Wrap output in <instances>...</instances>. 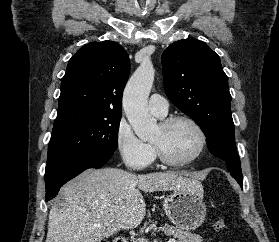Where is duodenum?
Instances as JSON below:
<instances>
[{"label":"duodenum","instance_id":"duodenum-1","mask_svg":"<svg viewBox=\"0 0 279 242\" xmlns=\"http://www.w3.org/2000/svg\"><path fill=\"white\" fill-rule=\"evenodd\" d=\"M113 242H127V240L125 238H122V237H118V238H115L113 240Z\"/></svg>","mask_w":279,"mask_h":242}]
</instances>
